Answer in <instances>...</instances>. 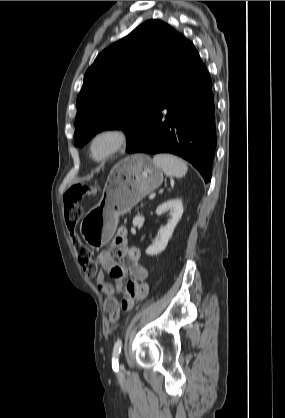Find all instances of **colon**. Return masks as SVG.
Returning <instances> with one entry per match:
<instances>
[{
  "label": "colon",
  "instance_id": "colon-1",
  "mask_svg": "<svg viewBox=\"0 0 285 418\" xmlns=\"http://www.w3.org/2000/svg\"><path fill=\"white\" fill-rule=\"evenodd\" d=\"M83 192L74 186L70 188L64 196V219L69 231L70 240L74 246L78 262L82 266L84 272L93 277L97 273V266L92 260L91 251L80 240L77 233V225L81 219L82 211L79 205L83 197ZM121 303L117 298L110 294L104 303V310L111 322H115L119 317ZM126 306L131 308L132 304L127 303Z\"/></svg>",
  "mask_w": 285,
  "mask_h": 418
}]
</instances>
